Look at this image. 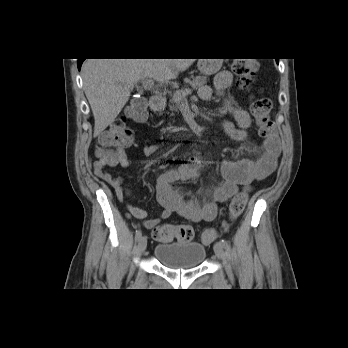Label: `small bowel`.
I'll return each mask as SVG.
<instances>
[{
	"instance_id": "small-bowel-1",
	"label": "small bowel",
	"mask_w": 348,
	"mask_h": 348,
	"mask_svg": "<svg viewBox=\"0 0 348 348\" xmlns=\"http://www.w3.org/2000/svg\"><path fill=\"white\" fill-rule=\"evenodd\" d=\"M233 82V74L230 71L220 72L215 79V89L221 100L223 109L232 116V121H222L223 132L231 139L248 143L254 149L257 145L251 140L248 129L251 125V118L247 111L235 105L234 101L227 95L226 90ZM212 89L209 86H202L199 89V97L208 101L212 98ZM158 149L156 144H148L144 147L145 155L150 156ZM281 147L280 140L276 134L269 136L263 145V152L256 162L238 161L225 162L222 165L221 173L224 180L216 187L204 188L202 190L205 199L200 202L191 197H185L179 192L175 184L195 183L202 174V161L197 156L188 163L170 168L160 175L155 183L156 199L162 210L158 218H147L146 210L133 206L126 201L128 191L124 188L122 177L112 176L106 169L107 166L119 165L123 168L131 166L129 158L120 151V158L113 164H106L101 161L93 165V173L101 180L108 183L115 190L117 198L126 202L128 210L127 217H134L141 220V225L151 230L160 224L162 220L168 219L172 214L191 222L212 221L216 218L217 208L220 204L227 203L230 198L239 190L247 189L254 181L262 180L270 176L276 169Z\"/></svg>"
}]
</instances>
